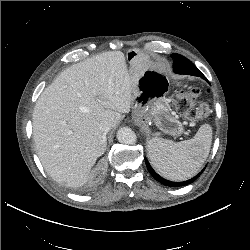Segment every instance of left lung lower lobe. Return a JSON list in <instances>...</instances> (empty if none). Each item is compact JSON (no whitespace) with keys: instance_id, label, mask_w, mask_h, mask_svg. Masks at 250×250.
Instances as JSON below:
<instances>
[{"instance_id":"0a47b994","label":"left lung lower lobe","mask_w":250,"mask_h":250,"mask_svg":"<svg viewBox=\"0 0 250 250\" xmlns=\"http://www.w3.org/2000/svg\"><path fill=\"white\" fill-rule=\"evenodd\" d=\"M172 58L174 60L173 63V69L175 73L178 74H190V75H194V76H199L203 79L206 80V78L204 77V75L197 69V67L191 62L189 61L187 58H185L184 56L180 55V54H172ZM145 163L147 166L148 171L150 172V174L160 183L166 185V186H170V187H179V186H185L188 185L190 183H192L193 181H195L203 172V170L197 174L195 177L187 180V181H183V182H172L169 180H166L164 178H162L160 175H158L153 168L150 166L149 162L147 159H145Z\"/></svg>"}]
</instances>
